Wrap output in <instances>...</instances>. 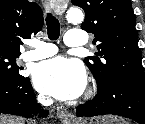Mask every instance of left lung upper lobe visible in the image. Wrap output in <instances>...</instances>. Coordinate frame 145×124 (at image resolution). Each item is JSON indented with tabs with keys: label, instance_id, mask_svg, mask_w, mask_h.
Wrapping results in <instances>:
<instances>
[{
	"label": "left lung upper lobe",
	"instance_id": "5c2ea615",
	"mask_svg": "<svg viewBox=\"0 0 145 124\" xmlns=\"http://www.w3.org/2000/svg\"><path fill=\"white\" fill-rule=\"evenodd\" d=\"M85 11L81 28L93 33L99 52L84 62L94 75L98 92L117 80L144 84L136 18L130 0H72ZM100 56V57H98Z\"/></svg>",
	"mask_w": 145,
	"mask_h": 124
}]
</instances>
